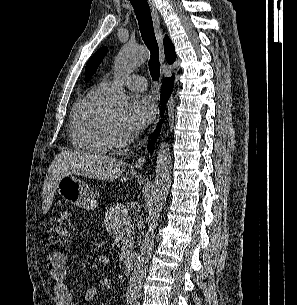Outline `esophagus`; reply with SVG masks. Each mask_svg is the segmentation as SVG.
Here are the masks:
<instances>
[{
    "instance_id": "esophagus-1",
    "label": "esophagus",
    "mask_w": 297,
    "mask_h": 305,
    "mask_svg": "<svg viewBox=\"0 0 297 305\" xmlns=\"http://www.w3.org/2000/svg\"><path fill=\"white\" fill-rule=\"evenodd\" d=\"M147 1H148L150 10H151L152 19H153V22H154L155 35H156L157 42H158L159 49H160V61L163 64L164 59H165L164 58V49H163L164 33H163L162 25H161V17H160V14H159L156 6H155L154 1L153 0H147ZM159 118H160V111L158 110L155 123H157L159 121ZM152 130H150V132ZM145 143H147V139L145 140ZM147 156H148V150H147V147L145 146L144 151L142 152L140 157L135 162V167L137 169H142L143 168V166L146 164Z\"/></svg>"
}]
</instances>
